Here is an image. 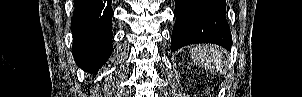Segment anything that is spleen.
<instances>
[{"label": "spleen", "mask_w": 302, "mask_h": 97, "mask_svg": "<svg viewBox=\"0 0 302 97\" xmlns=\"http://www.w3.org/2000/svg\"><path fill=\"white\" fill-rule=\"evenodd\" d=\"M191 59L196 65L213 72L224 73L227 70V62L223 54L212 45H197L190 50Z\"/></svg>", "instance_id": "spleen-1"}]
</instances>
